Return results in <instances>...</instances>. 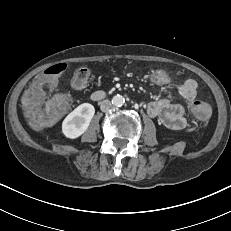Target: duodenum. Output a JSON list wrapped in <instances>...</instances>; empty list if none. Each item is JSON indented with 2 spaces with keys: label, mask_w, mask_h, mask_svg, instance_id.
<instances>
[{
  "label": "duodenum",
  "mask_w": 231,
  "mask_h": 231,
  "mask_svg": "<svg viewBox=\"0 0 231 231\" xmlns=\"http://www.w3.org/2000/svg\"><path fill=\"white\" fill-rule=\"evenodd\" d=\"M105 97V93L103 91H96L92 94V99L95 101L102 100Z\"/></svg>",
  "instance_id": "duodenum-1"
}]
</instances>
